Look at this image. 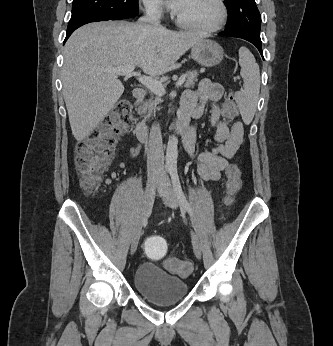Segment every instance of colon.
Listing matches in <instances>:
<instances>
[{
    "label": "colon",
    "instance_id": "1",
    "mask_svg": "<svg viewBox=\"0 0 333 346\" xmlns=\"http://www.w3.org/2000/svg\"><path fill=\"white\" fill-rule=\"evenodd\" d=\"M238 115L237 106L232 92L224 103L223 116L232 121ZM132 127V106L127 100L119 101L113 112L105 118L99 127L76 146L75 164L83 189L95 191L110 166L113 150L120 134L128 132ZM241 188V171L236 164L226 170L227 203L231 204L235 194ZM160 233H149L144 236V256L148 260H164L163 266L169 272L185 277L193 272V264L178 258H167L166 240Z\"/></svg>",
    "mask_w": 333,
    "mask_h": 346
}]
</instances>
